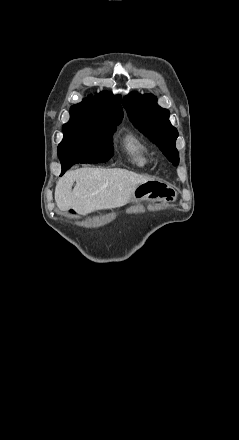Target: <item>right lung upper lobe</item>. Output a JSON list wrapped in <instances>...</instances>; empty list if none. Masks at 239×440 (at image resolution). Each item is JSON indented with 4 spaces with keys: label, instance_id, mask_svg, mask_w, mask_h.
Wrapping results in <instances>:
<instances>
[{
    "label": "right lung upper lobe",
    "instance_id": "obj_1",
    "mask_svg": "<svg viewBox=\"0 0 239 440\" xmlns=\"http://www.w3.org/2000/svg\"><path fill=\"white\" fill-rule=\"evenodd\" d=\"M121 97L102 92L84 99L70 108V116L84 119H98L120 123L123 118Z\"/></svg>",
    "mask_w": 239,
    "mask_h": 440
}]
</instances>
